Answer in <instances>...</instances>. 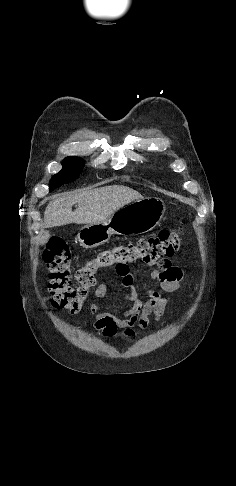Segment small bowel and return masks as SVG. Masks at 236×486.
I'll list each match as a JSON object with an SVG mask.
<instances>
[{
  "label": "small bowel",
  "instance_id": "c3829d8e",
  "mask_svg": "<svg viewBox=\"0 0 236 486\" xmlns=\"http://www.w3.org/2000/svg\"><path fill=\"white\" fill-rule=\"evenodd\" d=\"M155 267L151 273V278L158 286L166 292H174L179 289L183 272L179 267L173 266L168 259L148 263ZM117 274L122 278V284L128 289L123 294V299L129 302V306L122 311V318L109 312H100V300L109 291L108 284L99 283L95 290V302L90 307V313L95 318V327L107 335H113L117 329H122L124 335L135 337L134 327L146 329L150 324V316L153 315L159 321L168 303L166 297L162 296L158 289L151 288L148 291V298L141 300L133 284V272L130 266L116 268Z\"/></svg>",
  "mask_w": 236,
  "mask_h": 486
}]
</instances>
